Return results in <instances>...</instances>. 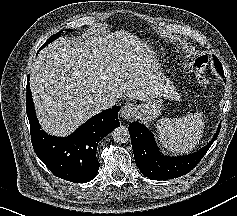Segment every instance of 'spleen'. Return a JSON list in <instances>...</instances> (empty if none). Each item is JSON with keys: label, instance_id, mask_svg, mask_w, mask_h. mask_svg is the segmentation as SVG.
Masks as SVG:
<instances>
[{"label": "spleen", "instance_id": "spleen-1", "mask_svg": "<svg viewBox=\"0 0 237 216\" xmlns=\"http://www.w3.org/2000/svg\"><path fill=\"white\" fill-rule=\"evenodd\" d=\"M203 123L197 114L158 120L157 131L162 144L172 152L193 149L201 138Z\"/></svg>", "mask_w": 237, "mask_h": 216}]
</instances>
